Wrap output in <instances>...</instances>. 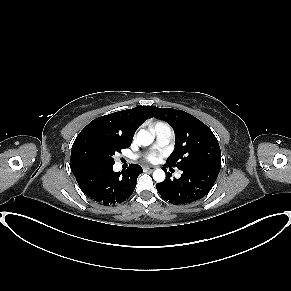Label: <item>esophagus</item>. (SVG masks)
<instances>
[{"instance_id":"esophagus-1","label":"esophagus","mask_w":291,"mask_h":291,"mask_svg":"<svg viewBox=\"0 0 291 291\" xmlns=\"http://www.w3.org/2000/svg\"><path fill=\"white\" fill-rule=\"evenodd\" d=\"M143 169H144L145 171H150V172H152V171H154V170L156 169V167H154V166H144Z\"/></svg>"}]
</instances>
